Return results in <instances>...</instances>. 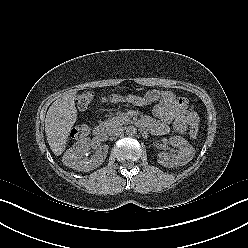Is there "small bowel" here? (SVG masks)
I'll use <instances>...</instances> for the list:
<instances>
[{
	"label": "small bowel",
	"mask_w": 248,
	"mask_h": 248,
	"mask_svg": "<svg viewBox=\"0 0 248 248\" xmlns=\"http://www.w3.org/2000/svg\"><path fill=\"white\" fill-rule=\"evenodd\" d=\"M128 102L145 106L156 102L153 107V115L158 121L149 117H144L141 123L150 128L155 134H166L169 132V124L173 122V127L178 133H186L188 126L193 123L198 124V117L190 102L181 97H177L168 90H150L143 96H129Z\"/></svg>",
	"instance_id": "1"
}]
</instances>
